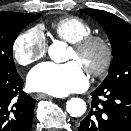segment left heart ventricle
<instances>
[{"instance_id":"obj_1","label":"left heart ventricle","mask_w":131,"mask_h":131,"mask_svg":"<svg viewBox=\"0 0 131 131\" xmlns=\"http://www.w3.org/2000/svg\"><path fill=\"white\" fill-rule=\"evenodd\" d=\"M102 53L100 49H94L85 57H79L72 49L68 55V60L78 62L82 67L94 66L101 61Z\"/></svg>"}]
</instances>
